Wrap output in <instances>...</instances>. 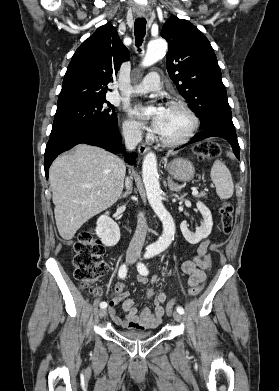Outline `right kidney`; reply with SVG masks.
I'll use <instances>...</instances> for the list:
<instances>
[{"mask_svg": "<svg viewBox=\"0 0 279 391\" xmlns=\"http://www.w3.org/2000/svg\"><path fill=\"white\" fill-rule=\"evenodd\" d=\"M95 232L102 243L108 247L116 245L120 240V228L109 217L108 212L98 218Z\"/></svg>", "mask_w": 279, "mask_h": 391, "instance_id": "right-kidney-1", "label": "right kidney"}]
</instances>
